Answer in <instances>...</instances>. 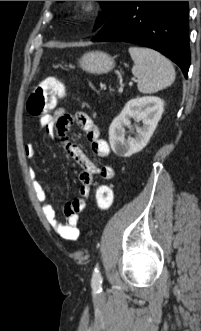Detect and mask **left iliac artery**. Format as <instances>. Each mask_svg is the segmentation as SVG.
<instances>
[{
	"instance_id": "left-iliac-artery-1",
	"label": "left iliac artery",
	"mask_w": 201,
	"mask_h": 331,
	"mask_svg": "<svg viewBox=\"0 0 201 331\" xmlns=\"http://www.w3.org/2000/svg\"><path fill=\"white\" fill-rule=\"evenodd\" d=\"M101 285H102V276H101L98 266H96L94 269V272H93V276H92V287L95 290H100Z\"/></svg>"
}]
</instances>
